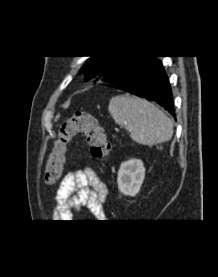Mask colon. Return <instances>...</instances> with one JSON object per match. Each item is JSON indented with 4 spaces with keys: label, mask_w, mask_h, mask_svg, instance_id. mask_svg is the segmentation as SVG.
<instances>
[{
    "label": "colon",
    "mask_w": 218,
    "mask_h": 277,
    "mask_svg": "<svg viewBox=\"0 0 218 277\" xmlns=\"http://www.w3.org/2000/svg\"><path fill=\"white\" fill-rule=\"evenodd\" d=\"M77 135L85 139L94 158L99 160L109 158L111 144L95 116L84 111L76 112L60 125L45 168L47 182L54 183L60 178L65 162L66 146Z\"/></svg>",
    "instance_id": "obj_1"
}]
</instances>
